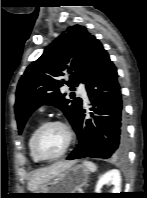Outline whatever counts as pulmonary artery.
Here are the masks:
<instances>
[{
    "mask_svg": "<svg viewBox=\"0 0 147 198\" xmlns=\"http://www.w3.org/2000/svg\"><path fill=\"white\" fill-rule=\"evenodd\" d=\"M78 93L81 96V98L83 99L84 103L87 104L89 99H88L86 89L83 85L78 86ZM40 110H43V108H41Z\"/></svg>",
    "mask_w": 147,
    "mask_h": 198,
    "instance_id": "obj_1",
    "label": "pulmonary artery"
}]
</instances>
